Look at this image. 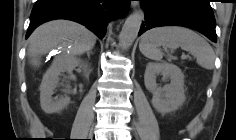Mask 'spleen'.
I'll list each match as a JSON object with an SVG mask.
<instances>
[{
  "label": "spleen",
  "instance_id": "3e777b00",
  "mask_svg": "<svg viewBox=\"0 0 236 140\" xmlns=\"http://www.w3.org/2000/svg\"><path fill=\"white\" fill-rule=\"evenodd\" d=\"M160 46L175 50L181 47L190 52L198 65L205 69H213L215 54L209 43L194 31L178 26L158 27L147 31L141 38V53L155 61H161L163 54Z\"/></svg>",
  "mask_w": 236,
  "mask_h": 140
}]
</instances>
